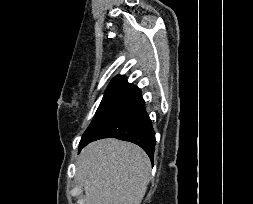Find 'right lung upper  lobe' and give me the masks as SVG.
<instances>
[{"label":"right lung upper lobe","instance_id":"1","mask_svg":"<svg viewBox=\"0 0 253 204\" xmlns=\"http://www.w3.org/2000/svg\"><path fill=\"white\" fill-rule=\"evenodd\" d=\"M116 83H127L126 79L124 76H120L118 75L117 77H115L110 84H116Z\"/></svg>","mask_w":253,"mask_h":204}]
</instances>
